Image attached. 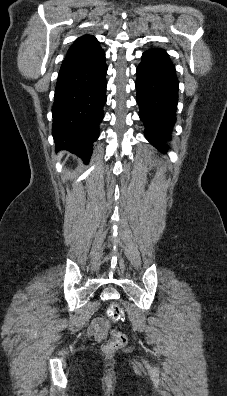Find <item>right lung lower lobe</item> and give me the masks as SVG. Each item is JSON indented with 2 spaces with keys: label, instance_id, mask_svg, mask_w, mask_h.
Segmentation results:
<instances>
[{
  "label": "right lung lower lobe",
  "instance_id": "right-lung-lower-lobe-1",
  "mask_svg": "<svg viewBox=\"0 0 227 396\" xmlns=\"http://www.w3.org/2000/svg\"><path fill=\"white\" fill-rule=\"evenodd\" d=\"M105 52L98 41L73 44L64 59L52 107L56 149L88 161L106 103Z\"/></svg>",
  "mask_w": 227,
  "mask_h": 396
}]
</instances>
